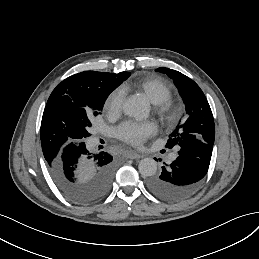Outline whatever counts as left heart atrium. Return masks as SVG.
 I'll return each instance as SVG.
<instances>
[{
	"mask_svg": "<svg viewBox=\"0 0 259 259\" xmlns=\"http://www.w3.org/2000/svg\"><path fill=\"white\" fill-rule=\"evenodd\" d=\"M157 125L151 121H126L119 125L115 132L117 137L132 145H141L156 134Z\"/></svg>",
	"mask_w": 259,
	"mask_h": 259,
	"instance_id": "39dd6f15",
	"label": "left heart atrium"
}]
</instances>
